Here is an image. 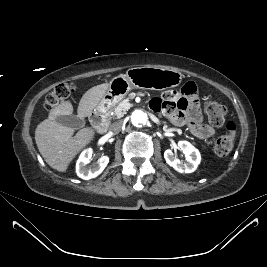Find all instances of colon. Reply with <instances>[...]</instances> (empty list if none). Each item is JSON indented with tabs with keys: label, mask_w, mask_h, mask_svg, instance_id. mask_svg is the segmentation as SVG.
I'll return each mask as SVG.
<instances>
[{
	"label": "colon",
	"mask_w": 267,
	"mask_h": 267,
	"mask_svg": "<svg viewBox=\"0 0 267 267\" xmlns=\"http://www.w3.org/2000/svg\"><path fill=\"white\" fill-rule=\"evenodd\" d=\"M75 87L71 83H61L57 85L46 97L44 106L46 109H52L60 103L71 97ZM227 109L224 105L212 101L206 105V113L209 122L216 127L222 126L225 122ZM227 133L219 136L214 141V150L220 156L227 155L233 148L236 137V125L229 121L226 123Z\"/></svg>",
	"instance_id": "1"
}]
</instances>
